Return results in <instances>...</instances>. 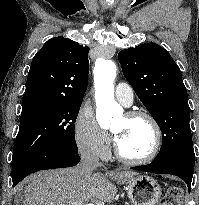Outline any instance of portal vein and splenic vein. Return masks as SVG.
<instances>
[{"label":"portal vein and splenic vein","instance_id":"1","mask_svg":"<svg viewBox=\"0 0 199 205\" xmlns=\"http://www.w3.org/2000/svg\"><path fill=\"white\" fill-rule=\"evenodd\" d=\"M89 205H104V203L100 202V201H96L95 204H89Z\"/></svg>","mask_w":199,"mask_h":205}]
</instances>
